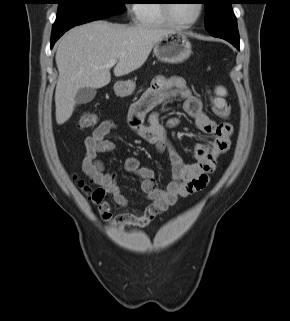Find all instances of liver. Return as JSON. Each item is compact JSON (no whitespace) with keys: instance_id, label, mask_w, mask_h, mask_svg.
Masks as SVG:
<instances>
[{"instance_id":"6515ba94","label":"liver","mask_w":290,"mask_h":321,"mask_svg":"<svg viewBox=\"0 0 290 321\" xmlns=\"http://www.w3.org/2000/svg\"><path fill=\"white\" fill-rule=\"evenodd\" d=\"M171 30L150 25L126 26L94 21L76 26L57 44L59 78L55 90L56 122L73 114L80 88H102L111 81L110 60L118 61L114 75L121 77L140 68L154 45Z\"/></svg>"}]
</instances>
